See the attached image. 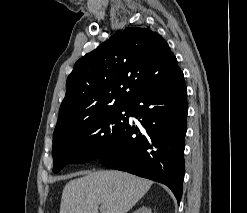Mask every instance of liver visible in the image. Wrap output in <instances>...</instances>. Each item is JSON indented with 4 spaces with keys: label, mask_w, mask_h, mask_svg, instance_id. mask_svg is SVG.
I'll return each mask as SVG.
<instances>
[{
    "label": "liver",
    "mask_w": 247,
    "mask_h": 213,
    "mask_svg": "<svg viewBox=\"0 0 247 213\" xmlns=\"http://www.w3.org/2000/svg\"><path fill=\"white\" fill-rule=\"evenodd\" d=\"M64 187L60 213H127L153 182L117 170L78 173Z\"/></svg>",
    "instance_id": "6515ba94"
}]
</instances>
